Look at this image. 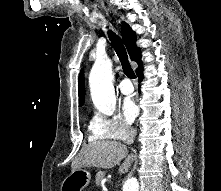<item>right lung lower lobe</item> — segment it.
Listing matches in <instances>:
<instances>
[{
  "mask_svg": "<svg viewBox=\"0 0 221 191\" xmlns=\"http://www.w3.org/2000/svg\"><path fill=\"white\" fill-rule=\"evenodd\" d=\"M137 76L139 77V81L142 80L143 78V73H142V69L140 68L138 71H136Z\"/></svg>",
  "mask_w": 221,
  "mask_h": 191,
  "instance_id": "right-lung-lower-lobe-1",
  "label": "right lung lower lobe"
}]
</instances>
